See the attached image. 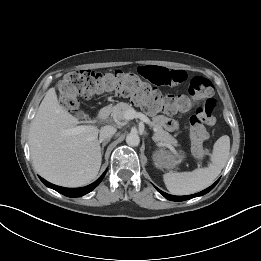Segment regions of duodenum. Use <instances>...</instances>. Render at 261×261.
Instances as JSON below:
<instances>
[{
	"instance_id": "duodenum-1",
	"label": "duodenum",
	"mask_w": 261,
	"mask_h": 261,
	"mask_svg": "<svg viewBox=\"0 0 261 261\" xmlns=\"http://www.w3.org/2000/svg\"><path fill=\"white\" fill-rule=\"evenodd\" d=\"M109 109L107 107L102 108L99 112H98V118L101 120L106 119L109 116Z\"/></svg>"
}]
</instances>
